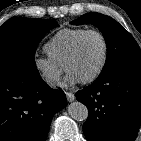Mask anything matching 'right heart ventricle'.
<instances>
[{
    "instance_id": "e07e8e85",
    "label": "right heart ventricle",
    "mask_w": 141,
    "mask_h": 141,
    "mask_svg": "<svg viewBox=\"0 0 141 141\" xmlns=\"http://www.w3.org/2000/svg\"><path fill=\"white\" fill-rule=\"evenodd\" d=\"M85 28H65L58 31L44 46L49 57L60 65H64L67 56Z\"/></svg>"
}]
</instances>
